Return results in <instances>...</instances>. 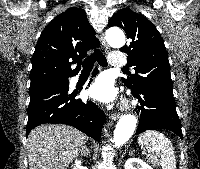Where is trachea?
Instances as JSON below:
<instances>
[{
    "instance_id": "obj_1",
    "label": "trachea",
    "mask_w": 200,
    "mask_h": 169,
    "mask_svg": "<svg viewBox=\"0 0 200 169\" xmlns=\"http://www.w3.org/2000/svg\"><path fill=\"white\" fill-rule=\"evenodd\" d=\"M96 61L99 63L100 66L103 67L107 66V60L99 49H96L90 56H88L83 61L82 63L83 71H91Z\"/></svg>"
}]
</instances>
